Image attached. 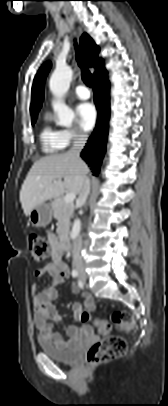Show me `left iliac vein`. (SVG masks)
Masks as SVG:
<instances>
[{"label":"left iliac vein","instance_id":"left-iliac-vein-1","mask_svg":"<svg viewBox=\"0 0 168 406\" xmlns=\"http://www.w3.org/2000/svg\"><path fill=\"white\" fill-rule=\"evenodd\" d=\"M80 279H81L82 282H85V281H86V275H85V273L82 272V273L80 274Z\"/></svg>","mask_w":168,"mask_h":406}]
</instances>
